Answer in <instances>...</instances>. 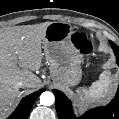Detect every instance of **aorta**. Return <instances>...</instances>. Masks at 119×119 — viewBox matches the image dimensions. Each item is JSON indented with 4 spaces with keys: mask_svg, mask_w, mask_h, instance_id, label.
<instances>
[{
    "mask_svg": "<svg viewBox=\"0 0 119 119\" xmlns=\"http://www.w3.org/2000/svg\"><path fill=\"white\" fill-rule=\"evenodd\" d=\"M55 97L52 92H44L40 96V102L42 105L50 106L54 103Z\"/></svg>",
    "mask_w": 119,
    "mask_h": 119,
    "instance_id": "obj_1",
    "label": "aorta"
}]
</instances>
